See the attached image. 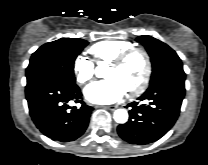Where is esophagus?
<instances>
[{
	"label": "esophagus",
	"mask_w": 208,
	"mask_h": 165,
	"mask_svg": "<svg viewBox=\"0 0 208 165\" xmlns=\"http://www.w3.org/2000/svg\"><path fill=\"white\" fill-rule=\"evenodd\" d=\"M118 106L117 105H111V106H96V108H104L108 110H115Z\"/></svg>",
	"instance_id": "1"
}]
</instances>
